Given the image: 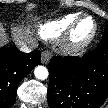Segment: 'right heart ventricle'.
<instances>
[{
  "instance_id": "e07e8e85",
  "label": "right heart ventricle",
  "mask_w": 108,
  "mask_h": 108,
  "mask_svg": "<svg viewBox=\"0 0 108 108\" xmlns=\"http://www.w3.org/2000/svg\"><path fill=\"white\" fill-rule=\"evenodd\" d=\"M78 18L77 15H68L41 23L38 34L44 39H53L63 33Z\"/></svg>"
}]
</instances>
